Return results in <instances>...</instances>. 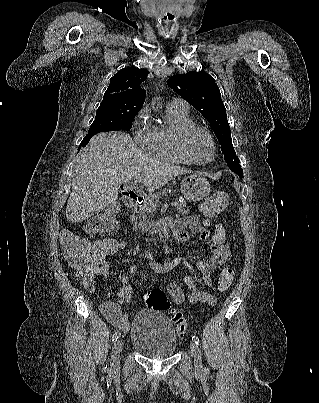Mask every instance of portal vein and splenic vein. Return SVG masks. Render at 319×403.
Returning a JSON list of instances; mask_svg holds the SVG:
<instances>
[{"label": "portal vein and splenic vein", "mask_w": 319, "mask_h": 403, "mask_svg": "<svg viewBox=\"0 0 319 403\" xmlns=\"http://www.w3.org/2000/svg\"><path fill=\"white\" fill-rule=\"evenodd\" d=\"M140 180H141V178L135 180V182L131 185V188L136 189V185H137V183H138ZM150 205H151L153 208L156 209V204H155L154 202L150 201ZM170 205H171L172 207H176V206L178 205V202H176V201L171 202Z\"/></svg>", "instance_id": "obj_1"}]
</instances>
